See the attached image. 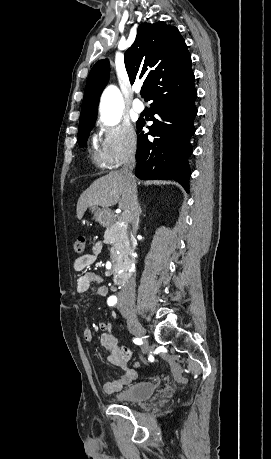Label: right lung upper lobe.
Instances as JSON below:
<instances>
[{"label":"right lung upper lobe","mask_w":271,"mask_h":459,"mask_svg":"<svg viewBox=\"0 0 271 459\" xmlns=\"http://www.w3.org/2000/svg\"><path fill=\"white\" fill-rule=\"evenodd\" d=\"M124 62L131 84L144 80L146 98L169 78L191 71V57L179 30L162 21L139 25L133 45L125 52ZM108 78L109 61H98L87 79L79 122L97 119L99 98Z\"/></svg>","instance_id":"right-lung-upper-lobe-1"}]
</instances>
